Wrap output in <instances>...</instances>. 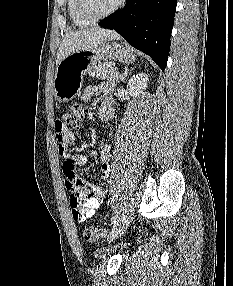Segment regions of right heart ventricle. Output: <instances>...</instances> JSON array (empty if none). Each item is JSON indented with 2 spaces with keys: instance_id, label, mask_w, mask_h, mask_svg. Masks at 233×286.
I'll use <instances>...</instances> for the list:
<instances>
[{
  "instance_id": "1",
  "label": "right heart ventricle",
  "mask_w": 233,
  "mask_h": 286,
  "mask_svg": "<svg viewBox=\"0 0 233 286\" xmlns=\"http://www.w3.org/2000/svg\"><path fill=\"white\" fill-rule=\"evenodd\" d=\"M67 10L69 17L72 23L77 27H86L90 22L86 21L78 12V1L77 0H68L67 1Z\"/></svg>"
}]
</instances>
